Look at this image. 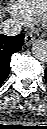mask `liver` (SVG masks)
Returning <instances> with one entry per match:
<instances>
[{
    "instance_id": "6515ba94",
    "label": "liver",
    "mask_w": 47,
    "mask_h": 129,
    "mask_svg": "<svg viewBox=\"0 0 47 129\" xmlns=\"http://www.w3.org/2000/svg\"><path fill=\"white\" fill-rule=\"evenodd\" d=\"M2 15H3V12H2V9H1V17H2Z\"/></svg>"
}]
</instances>
